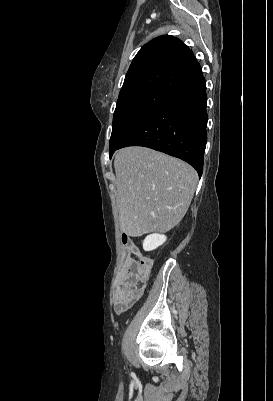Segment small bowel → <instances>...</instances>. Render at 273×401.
<instances>
[{"mask_svg":"<svg viewBox=\"0 0 273 401\" xmlns=\"http://www.w3.org/2000/svg\"><path fill=\"white\" fill-rule=\"evenodd\" d=\"M126 251L130 252V256H133V254H135V248L132 244L127 246ZM119 271H121L120 268ZM139 282H143V289H144L147 280H139ZM141 297H142L141 290H118L115 297L116 303H114L115 311L117 313H123L124 311L129 309L133 304H139L141 302Z\"/></svg>","mask_w":273,"mask_h":401,"instance_id":"obj_1","label":"small bowel"}]
</instances>
